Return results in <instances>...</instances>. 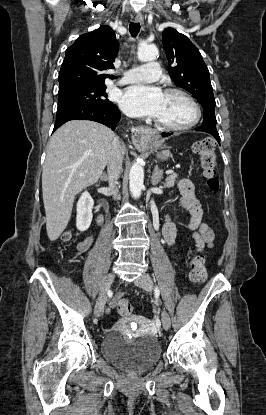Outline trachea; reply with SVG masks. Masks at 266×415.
I'll return each mask as SVG.
<instances>
[{
  "instance_id": "obj_1",
  "label": "trachea",
  "mask_w": 266,
  "mask_h": 415,
  "mask_svg": "<svg viewBox=\"0 0 266 415\" xmlns=\"http://www.w3.org/2000/svg\"><path fill=\"white\" fill-rule=\"evenodd\" d=\"M139 30H140V23H133V22L130 23V25H129V31H130V34L133 37H136L137 36Z\"/></svg>"
}]
</instances>
